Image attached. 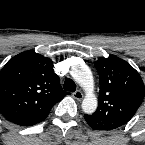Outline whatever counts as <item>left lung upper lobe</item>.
Here are the masks:
<instances>
[{"label": "left lung upper lobe", "instance_id": "1", "mask_svg": "<svg viewBox=\"0 0 145 145\" xmlns=\"http://www.w3.org/2000/svg\"><path fill=\"white\" fill-rule=\"evenodd\" d=\"M100 77L99 104L92 115H84L94 130H113L125 125L140 107L145 86L139 73L116 56L95 62Z\"/></svg>", "mask_w": 145, "mask_h": 145}]
</instances>
